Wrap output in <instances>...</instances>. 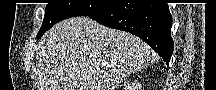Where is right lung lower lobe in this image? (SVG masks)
<instances>
[{
	"label": "right lung lower lobe",
	"instance_id": "1",
	"mask_svg": "<svg viewBox=\"0 0 216 90\" xmlns=\"http://www.w3.org/2000/svg\"><path fill=\"white\" fill-rule=\"evenodd\" d=\"M87 16L107 27L138 36L169 64L174 47L167 4H111Z\"/></svg>",
	"mask_w": 216,
	"mask_h": 90
}]
</instances>
